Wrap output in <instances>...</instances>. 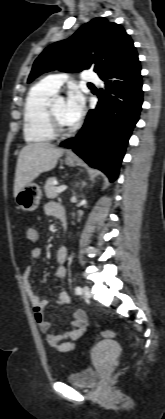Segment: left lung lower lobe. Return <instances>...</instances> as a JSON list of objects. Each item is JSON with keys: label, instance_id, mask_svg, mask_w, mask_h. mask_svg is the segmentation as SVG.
<instances>
[{"label": "left lung lower lobe", "instance_id": "obj_1", "mask_svg": "<svg viewBox=\"0 0 165 419\" xmlns=\"http://www.w3.org/2000/svg\"><path fill=\"white\" fill-rule=\"evenodd\" d=\"M141 67L135 47L109 71L98 94V104L89 111L79 133L61 143L72 149L90 166L102 170L114 181L126 145L142 106Z\"/></svg>", "mask_w": 165, "mask_h": 419}]
</instances>
